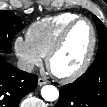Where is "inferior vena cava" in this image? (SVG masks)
Returning <instances> with one entry per match:
<instances>
[{
  "mask_svg": "<svg viewBox=\"0 0 107 107\" xmlns=\"http://www.w3.org/2000/svg\"><path fill=\"white\" fill-rule=\"evenodd\" d=\"M17 68L25 72L31 73L34 69V65L25 60H18Z\"/></svg>",
  "mask_w": 107,
  "mask_h": 107,
  "instance_id": "inferior-vena-cava-1",
  "label": "inferior vena cava"
}]
</instances>
